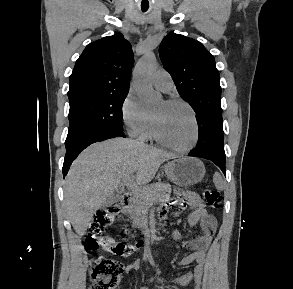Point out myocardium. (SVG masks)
<instances>
[{
	"label": "myocardium",
	"instance_id": "f54148a6",
	"mask_svg": "<svg viewBox=\"0 0 293 289\" xmlns=\"http://www.w3.org/2000/svg\"><path fill=\"white\" fill-rule=\"evenodd\" d=\"M165 102H167L169 104L183 105L190 111L191 116H192V120H193V124H194L193 139H192V141H191V143L189 145L184 146V147L175 146V145L167 142L160 135L159 129H158V126H157V123H156L155 119L153 117H151V134H152V137L160 145H162V146H164V147H166L168 149H171L173 151L181 152V153L190 152L191 150H193L197 146V144L199 142V138H200V127H199V122H198L196 112H195L194 108L187 101L179 99V98H170V99H167Z\"/></svg>",
	"mask_w": 293,
	"mask_h": 289
}]
</instances>
